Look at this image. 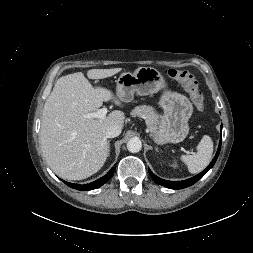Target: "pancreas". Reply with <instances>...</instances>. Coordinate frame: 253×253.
<instances>
[{"mask_svg":"<svg viewBox=\"0 0 253 253\" xmlns=\"http://www.w3.org/2000/svg\"><path fill=\"white\" fill-rule=\"evenodd\" d=\"M131 115L145 119L146 125L151 132H155L156 127L160 122L159 115L154 111L151 106H137L135 107V109L132 110Z\"/></svg>","mask_w":253,"mask_h":253,"instance_id":"obj_1","label":"pancreas"}]
</instances>
